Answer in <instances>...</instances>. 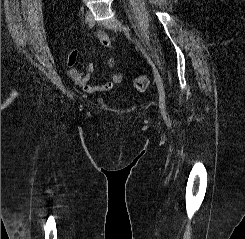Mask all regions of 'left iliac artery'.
<instances>
[{
	"instance_id": "left-iliac-artery-1",
	"label": "left iliac artery",
	"mask_w": 245,
	"mask_h": 239,
	"mask_svg": "<svg viewBox=\"0 0 245 239\" xmlns=\"http://www.w3.org/2000/svg\"><path fill=\"white\" fill-rule=\"evenodd\" d=\"M124 30L126 31L127 34H129V27L128 26H124ZM136 43L138 45V47L140 48V50L142 51V53L144 54V56L147 58L148 62L150 63V65L153 67V69H155L158 73V77L159 79L162 81V78L158 72V70L156 69L154 63L152 62V60L150 59V57L148 56V54L146 53L145 49L140 45V43L136 40ZM163 82V81H162Z\"/></svg>"
}]
</instances>
